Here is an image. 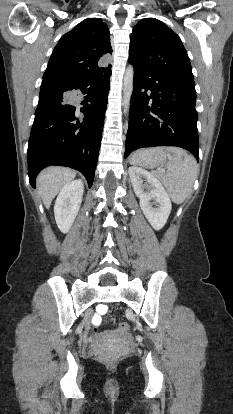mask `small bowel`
Wrapping results in <instances>:
<instances>
[{
  "label": "small bowel",
  "instance_id": "1",
  "mask_svg": "<svg viewBox=\"0 0 233 414\" xmlns=\"http://www.w3.org/2000/svg\"><path fill=\"white\" fill-rule=\"evenodd\" d=\"M98 311H99V313H105L106 312V306L105 305H99L98 306ZM93 322L95 324H99L100 323V317H99V315H95L93 317Z\"/></svg>",
  "mask_w": 233,
  "mask_h": 414
}]
</instances>
